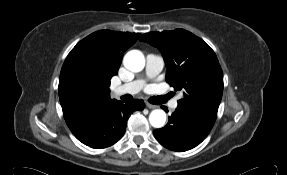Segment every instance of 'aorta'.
Here are the masks:
<instances>
[{
	"instance_id": "obj_1",
	"label": "aorta",
	"mask_w": 287,
	"mask_h": 175,
	"mask_svg": "<svg viewBox=\"0 0 287 175\" xmlns=\"http://www.w3.org/2000/svg\"><path fill=\"white\" fill-rule=\"evenodd\" d=\"M123 64L132 72H140L145 66V57L141 51L131 50L124 56ZM149 122L154 128H162L166 122V113L162 109L153 110Z\"/></svg>"
}]
</instances>
